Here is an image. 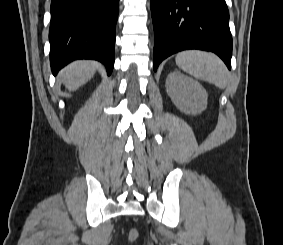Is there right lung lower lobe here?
Listing matches in <instances>:
<instances>
[{"label":"right lung lower lobe","mask_w":283,"mask_h":245,"mask_svg":"<svg viewBox=\"0 0 283 245\" xmlns=\"http://www.w3.org/2000/svg\"><path fill=\"white\" fill-rule=\"evenodd\" d=\"M119 0H52L49 30L54 75L75 59H95L111 74Z\"/></svg>","instance_id":"1"}]
</instances>
